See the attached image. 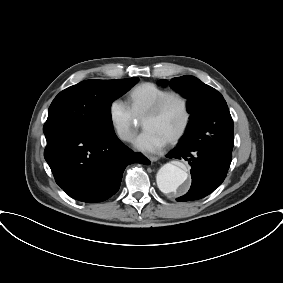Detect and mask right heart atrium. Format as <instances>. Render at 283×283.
<instances>
[{"instance_id": "right-heart-atrium-1", "label": "right heart atrium", "mask_w": 283, "mask_h": 283, "mask_svg": "<svg viewBox=\"0 0 283 283\" xmlns=\"http://www.w3.org/2000/svg\"><path fill=\"white\" fill-rule=\"evenodd\" d=\"M110 125L119 139L131 141L138 128V123L129 106L121 99L111 101L108 109Z\"/></svg>"}]
</instances>
